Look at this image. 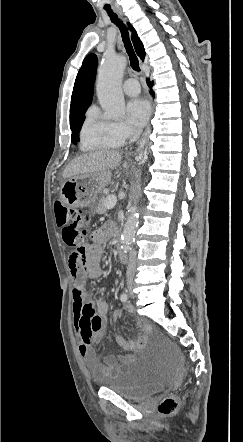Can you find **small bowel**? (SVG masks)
<instances>
[{"instance_id":"1","label":"small bowel","mask_w":243,"mask_h":442,"mask_svg":"<svg viewBox=\"0 0 243 442\" xmlns=\"http://www.w3.org/2000/svg\"><path fill=\"white\" fill-rule=\"evenodd\" d=\"M113 225L106 223L91 234L92 243L85 247L84 258L74 262L69 258L68 267L73 278L74 326L79 339L78 353L91 377L98 381L107 377L127 355L115 357L107 355L100 357L95 346L102 343L104 330L109 312L106 300H91L86 290V279H97L101 276V261L104 255L103 244L109 239ZM126 311H132V306L126 304ZM141 333L135 340H127L122 336L115 337L116 343L125 351L141 349L147 342L151 328L148 324L140 323Z\"/></svg>"}]
</instances>
